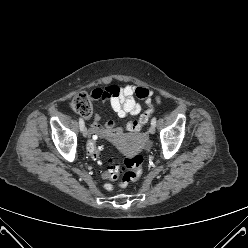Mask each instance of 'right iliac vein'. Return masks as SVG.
I'll use <instances>...</instances> for the list:
<instances>
[{
	"label": "right iliac vein",
	"instance_id": "obj_1",
	"mask_svg": "<svg viewBox=\"0 0 248 248\" xmlns=\"http://www.w3.org/2000/svg\"><path fill=\"white\" fill-rule=\"evenodd\" d=\"M83 136L87 137L88 136V130L86 127L83 128Z\"/></svg>",
	"mask_w": 248,
	"mask_h": 248
}]
</instances>
